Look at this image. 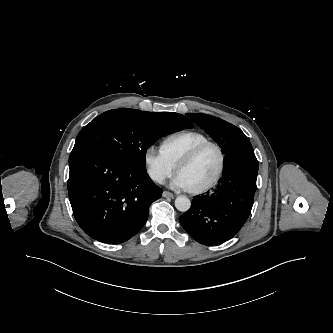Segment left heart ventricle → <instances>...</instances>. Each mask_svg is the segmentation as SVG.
<instances>
[{
    "instance_id": "obj_1",
    "label": "left heart ventricle",
    "mask_w": 333,
    "mask_h": 333,
    "mask_svg": "<svg viewBox=\"0 0 333 333\" xmlns=\"http://www.w3.org/2000/svg\"><path fill=\"white\" fill-rule=\"evenodd\" d=\"M219 156L214 148L203 151L192 163L182 168L179 174L185 179L190 189L198 188L209 182L215 175Z\"/></svg>"
}]
</instances>
